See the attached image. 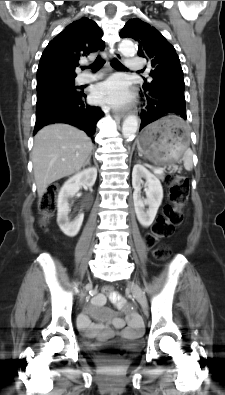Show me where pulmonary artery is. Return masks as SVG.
<instances>
[{
	"instance_id": "obj_1",
	"label": "pulmonary artery",
	"mask_w": 225,
	"mask_h": 395,
	"mask_svg": "<svg viewBox=\"0 0 225 395\" xmlns=\"http://www.w3.org/2000/svg\"><path fill=\"white\" fill-rule=\"evenodd\" d=\"M126 66L129 70H139L142 68V61L140 58L138 57H132L126 60ZM100 77L99 74H89V73H85L82 74L78 77L77 81L79 83H89L91 81H94L96 79H98Z\"/></svg>"
}]
</instances>
